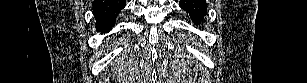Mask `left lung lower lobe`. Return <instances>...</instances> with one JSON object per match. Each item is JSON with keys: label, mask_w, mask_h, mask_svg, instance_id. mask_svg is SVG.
<instances>
[{"label": "left lung lower lobe", "mask_w": 307, "mask_h": 83, "mask_svg": "<svg viewBox=\"0 0 307 83\" xmlns=\"http://www.w3.org/2000/svg\"><path fill=\"white\" fill-rule=\"evenodd\" d=\"M180 7L186 11L194 24L197 26L203 21L207 14V4L205 0H180Z\"/></svg>", "instance_id": "left-lung-lower-lobe-1"}]
</instances>
